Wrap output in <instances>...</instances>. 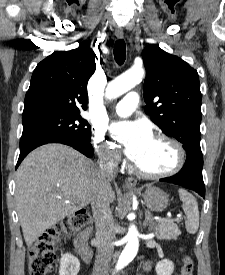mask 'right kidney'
<instances>
[{
    "label": "right kidney",
    "instance_id": "right-kidney-1",
    "mask_svg": "<svg viewBox=\"0 0 225 275\" xmlns=\"http://www.w3.org/2000/svg\"><path fill=\"white\" fill-rule=\"evenodd\" d=\"M80 270L79 260L70 253L61 256L59 275H77Z\"/></svg>",
    "mask_w": 225,
    "mask_h": 275
}]
</instances>
